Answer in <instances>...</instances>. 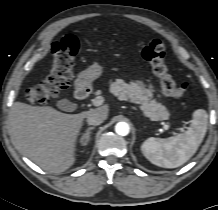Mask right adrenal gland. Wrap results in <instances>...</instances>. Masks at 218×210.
I'll return each mask as SVG.
<instances>
[{
	"instance_id": "1",
	"label": "right adrenal gland",
	"mask_w": 218,
	"mask_h": 210,
	"mask_svg": "<svg viewBox=\"0 0 218 210\" xmlns=\"http://www.w3.org/2000/svg\"><path fill=\"white\" fill-rule=\"evenodd\" d=\"M95 127H89L87 130H86V133H84L81 137V142H82V145H87L89 140H90V131L93 130Z\"/></svg>"
}]
</instances>
